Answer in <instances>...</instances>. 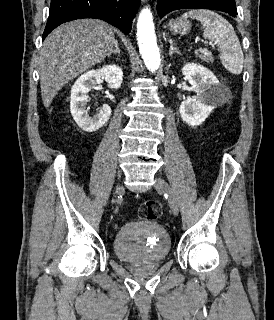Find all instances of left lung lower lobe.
I'll list each match as a JSON object with an SVG mask.
<instances>
[{"mask_svg": "<svg viewBox=\"0 0 274 320\" xmlns=\"http://www.w3.org/2000/svg\"><path fill=\"white\" fill-rule=\"evenodd\" d=\"M178 9H211L226 12L236 17L235 0H158L157 12L160 18Z\"/></svg>", "mask_w": 274, "mask_h": 320, "instance_id": "left-lung-lower-lobe-1", "label": "left lung lower lobe"}]
</instances>
